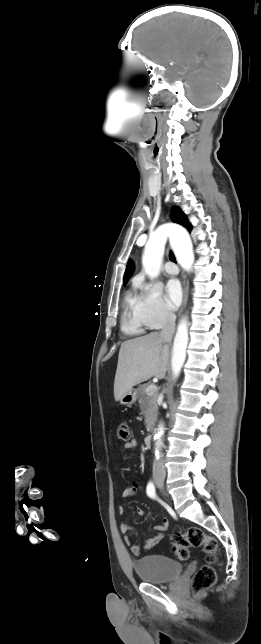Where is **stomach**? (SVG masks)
<instances>
[{"instance_id":"0dacf381","label":"stomach","mask_w":261,"mask_h":644,"mask_svg":"<svg viewBox=\"0 0 261 644\" xmlns=\"http://www.w3.org/2000/svg\"><path fill=\"white\" fill-rule=\"evenodd\" d=\"M137 397H138L137 390L131 389L120 398V403L123 405L130 406L136 402Z\"/></svg>"}]
</instances>
